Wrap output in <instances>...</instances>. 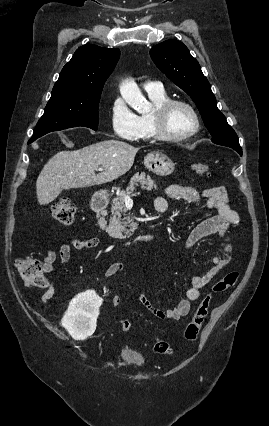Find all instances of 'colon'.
<instances>
[{
    "label": "colon",
    "instance_id": "colon-1",
    "mask_svg": "<svg viewBox=\"0 0 269 426\" xmlns=\"http://www.w3.org/2000/svg\"><path fill=\"white\" fill-rule=\"evenodd\" d=\"M192 169L200 176L209 175L208 165L202 162L192 164ZM53 218L62 226L70 227L75 222L76 208L68 197H61L50 207ZM15 269L21 282L28 286L43 287L46 279L42 268V263L32 257L18 258L15 262ZM239 279L238 271L228 272L222 279L213 284L210 291L203 296L198 306L193 312L190 322L184 330V339L193 342L197 339L200 329L205 321L208 311L214 302L216 295L226 292L235 286ZM121 329L125 332L132 329V323L128 319L121 321ZM154 350L158 354L169 355L172 352L171 345L167 341H157Z\"/></svg>",
    "mask_w": 269,
    "mask_h": 426
}]
</instances>
